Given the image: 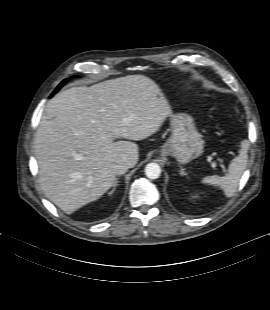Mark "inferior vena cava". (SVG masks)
Wrapping results in <instances>:
<instances>
[{
	"instance_id": "obj_1",
	"label": "inferior vena cava",
	"mask_w": 270,
	"mask_h": 310,
	"mask_svg": "<svg viewBox=\"0 0 270 310\" xmlns=\"http://www.w3.org/2000/svg\"><path fill=\"white\" fill-rule=\"evenodd\" d=\"M129 168H130L129 162L123 159L118 161L117 164L114 165V173L116 175H121L126 173Z\"/></svg>"
}]
</instances>
